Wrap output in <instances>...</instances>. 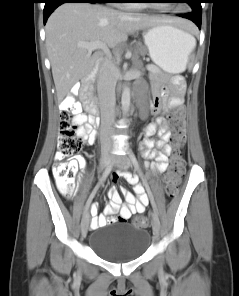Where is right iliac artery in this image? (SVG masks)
<instances>
[{
    "instance_id": "obj_1",
    "label": "right iliac artery",
    "mask_w": 239,
    "mask_h": 296,
    "mask_svg": "<svg viewBox=\"0 0 239 296\" xmlns=\"http://www.w3.org/2000/svg\"><path fill=\"white\" fill-rule=\"evenodd\" d=\"M112 167H113V163H111V164L105 169V171H104V173H103V175H102V177H101V179H100V182L96 185V187H95L94 190L92 191V193H91L89 199H87V202H85L84 211L82 212V215H83V216H85V215L87 214L86 212H87L88 209H89V204L91 203V200H92L93 198L96 197V192H97V190L99 189L100 184H102V182L105 181L106 177L108 176V174H109L110 171L112 170Z\"/></svg>"
}]
</instances>
